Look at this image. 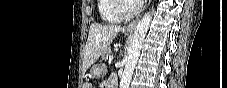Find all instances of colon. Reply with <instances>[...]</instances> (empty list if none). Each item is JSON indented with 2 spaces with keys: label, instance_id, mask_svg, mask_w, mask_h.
<instances>
[{
  "label": "colon",
  "instance_id": "obj_1",
  "mask_svg": "<svg viewBox=\"0 0 227 88\" xmlns=\"http://www.w3.org/2000/svg\"><path fill=\"white\" fill-rule=\"evenodd\" d=\"M85 87H87V88H89V87H91L89 84H87Z\"/></svg>",
  "mask_w": 227,
  "mask_h": 88
}]
</instances>
